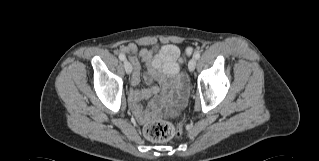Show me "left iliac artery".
I'll list each match as a JSON object with an SVG mask.
<instances>
[{"instance_id": "1", "label": "left iliac artery", "mask_w": 319, "mask_h": 161, "mask_svg": "<svg viewBox=\"0 0 319 161\" xmlns=\"http://www.w3.org/2000/svg\"><path fill=\"white\" fill-rule=\"evenodd\" d=\"M194 58H195V59H199V58H200V53H199V52H196V53L194 54Z\"/></svg>"}]
</instances>
